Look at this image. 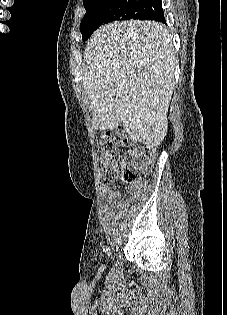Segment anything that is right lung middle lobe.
<instances>
[{
    "label": "right lung middle lobe",
    "mask_w": 227,
    "mask_h": 315,
    "mask_svg": "<svg viewBox=\"0 0 227 315\" xmlns=\"http://www.w3.org/2000/svg\"><path fill=\"white\" fill-rule=\"evenodd\" d=\"M161 0H90L83 1L86 9L80 31L82 40L102 24L116 20H153L154 12Z\"/></svg>",
    "instance_id": "1"
}]
</instances>
